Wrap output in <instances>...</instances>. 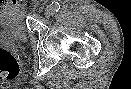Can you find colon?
Listing matches in <instances>:
<instances>
[{"label":"colon","instance_id":"colon-1","mask_svg":"<svg viewBox=\"0 0 131 89\" xmlns=\"http://www.w3.org/2000/svg\"><path fill=\"white\" fill-rule=\"evenodd\" d=\"M20 72L16 57L5 49H0V79H13Z\"/></svg>","mask_w":131,"mask_h":89}]
</instances>
